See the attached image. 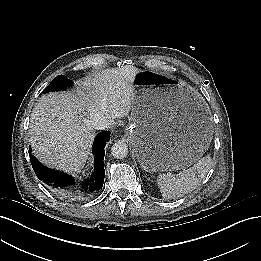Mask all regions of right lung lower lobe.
Masks as SVG:
<instances>
[{
	"mask_svg": "<svg viewBox=\"0 0 261 261\" xmlns=\"http://www.w3.org/2000/svg\"><path fill=\"white\" fill-rule=\"evenodd\" d=\"M109 139V131L101 132L96 136L93 145V154L95 155V169L91 177L82 182L81 187H76L75 180L67 174L59 173L43 166L36 159V157L31 154V149H29L30 161L37 177L51 190L66 197L84 198L89 196L93 191L100 190L103 186L105 177V170L103 167L105 154L104 148L106 142H108Z\"/></svg>",
	"mask_w": 261,
	"mask_h": 261,
	"instance_id": "obj_1",
	"label": "right lung lower lobe"
}]
</instances>
